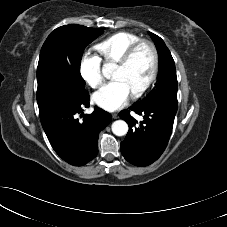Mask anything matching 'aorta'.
<instances>
[{
	"mask_svg": "<svg viewBox=\"0 0 227 227\" xmlns=\"http://www.w3.org/2000/svg\"><path fill=\"white\" fill-rule=\"evenodd\" d=\"M104 73H106V70H104ZM111 129L116 136H124L128 132V125L123 120H117L112 123Z\"/></svg>",
	"mask_w": 227,
	"mask_h": 227,
	"instance_id": "1",
	"label": "aorta"
}]
</instances>
